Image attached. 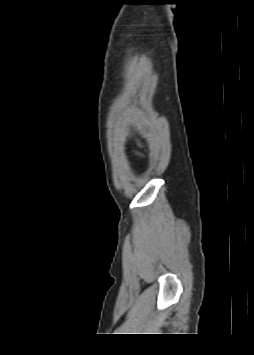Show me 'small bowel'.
Returning <instances> with one entry per match:
<instances>
[{
  "instance_id": "obj_1",
  "label": "small bowel",
  "mask_w": 254,
  "mask_h": 355,
  "mask_svg": "<svg viewBox=\"0 0 254 355\" xmlns=\"http://www.w3.org/2000/svg\"><path fill=\"white\" fill-rule=\"evenodd\" d=\"M132 153H133V154H135L136 156H139V157H144V155H143V154H140V153H138V152H136V151H132Z\"/></svg>"
}]
</instances>
